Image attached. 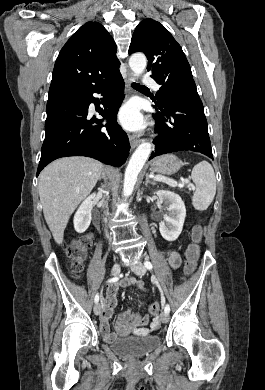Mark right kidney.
Returning <instances> with one entry per match:
<instances>
[{"label":"right kidney","mask_w":265,"mask_h":390,"mask_svg":"<svg viewBox=\"0 0 265 390\" xmlns=\"http://www.w3.org/2000/svg\"><path fill=\"white\" fill-rule=\"evenodd\" d=\"M95 194L87 197L82 204L79 206L77 212L74 215V228L76 232L83 233L89 227L92 220V200L94 199Z\"/></svg>","instance_id":"obj_1"}]
</instances>
